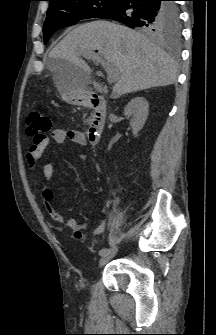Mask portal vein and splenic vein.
<instances>
[{
    "label": "portal vein and splenic vein",
    "mask_w": 216,
    "mask_h": 335,
    "mask_svg": "<svg viewBox=\"0 0 216 335\" xmlns=\"http://www.w3.org/2000/svg\"><path fill=\"white\" fill-rule=\"evenodd\" d=\"M82 56L87 59L96 60L102 64L103 68L107 72L108 83L112 84L118 80L119 76H118V73L116 72L115 67L113 66V64L108 62L104 57H101L96 53H85Z\"/></svg>",
    "instance_id": "portal-vein-and-splenic-vein-1"
}]
</instances>
